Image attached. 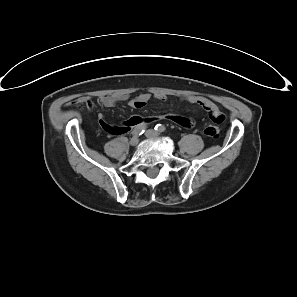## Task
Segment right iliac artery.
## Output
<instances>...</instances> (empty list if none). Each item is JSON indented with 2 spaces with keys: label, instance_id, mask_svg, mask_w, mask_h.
Here are the masks:
<instances>
[{
  "label": "right iliac artery",
  "instance_id": "right-iliac-artery-1",
  "mask_svg": "<svg viewBox=\"0 0 297 297\" xmlns=\"http://www.w3.org/2000/svg\"><path fill=\"white\" fill-rule=\"evenodd\" d=\"M146 129V125L145 124H139L138 126H136V128L133 130V135H141L144 133Z\"/></svg>",
  "mask_w": 297,
  "mask_h": 297
}]
</instances>
